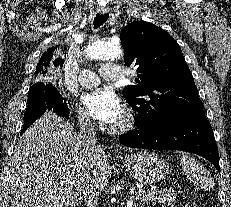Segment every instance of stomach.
Returning <instances> with one entry per match:
<instances>
[{
  "label": "stomach",
  "mask_w": 231,
  "mask_h": 207,
  "mask_svg": "<svg viewBox=\"0 0 231 207\" xmlns=\"http://www.w3.org/2000/svg\"><path fill=\"white\" fill-rule=\"evenodd\" d=\"M130 174L142 184H156L168 174L169 166L155 152L140 150L125 157Z\"/></svg>",
  "instance_id": "1"
}]
</instances>
